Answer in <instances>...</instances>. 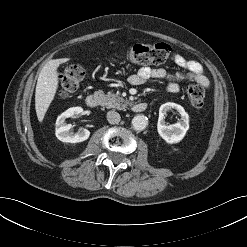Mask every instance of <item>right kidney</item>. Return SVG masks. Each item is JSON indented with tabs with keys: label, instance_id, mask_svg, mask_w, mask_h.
<instances>
[{
	"label": "right kidney",
	"instance_id": "ca27d5eb",
	"mask_svg": "<svg viewBox=\"0 0 247 247\" xmlns=\"http://www.w3.org/2000/svg\"><path fill=\"white\" fill-rule=\"evenodd\" d=\"M83 112L81 107H71L58 116L56 120V137L62 142L78 143L87 140L90 136V131L82 129L77 133L70 132L71 124H66L67 118H73Z\"/></svg>",
	"mask_w": 247,
	"mask_h": 247
}]
</instances>
